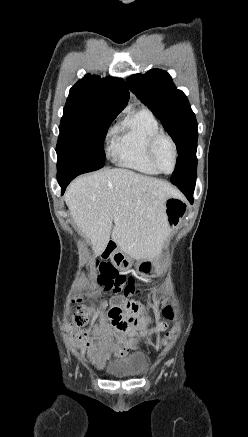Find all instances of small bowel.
<instances>
[{
	"instance_id": "c3829d8e",
	"label": "small bowel",
	"mask_w": 248,
	"mask_h": 437,
	"mask_svg": "<svg viewBox=\"0 0 248 437\" xmlns=\"http://www.w3.org/2000/svg\"><path fill=\"white\" fill-rule=\"evenodd\" d=\"M113 305L106 307L112 326L120 333L116 338L114 353L117 356H125L129 351L136 347L134 342L137 336H147L160 330V327H138L142 325V320L137 317L140 312V304L135 301H128L127 294H112ZM96 329L91 332L79 334L85 346H89L88 338L96 333Z\"/></svg>"
}]
</instances>
